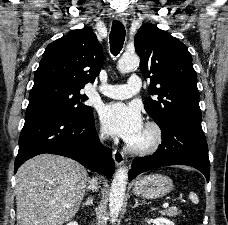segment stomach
Masks as SVG:
<instances>
[{
	"instance_id": "1",
	"label": "stomach",
	"mask_w": 228,
	"mask_h": 225,
	"mask_svg": "<svg viewBox=\"0 0 228 225\" xmlns=\"http://www.w3.org/2000/svg\"><path fill=\"white\" fill-rule=\"evenodd\" d=\"M173 181L164 175L138 177L133 185V193L143 199H161L173 191Z\"/></svg>"
}]
</instances>
